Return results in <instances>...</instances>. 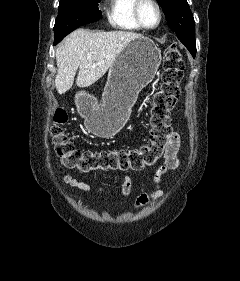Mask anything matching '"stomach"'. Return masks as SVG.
I'll return each mask as SVG.
<instances>
[{
  "label": "stomach",
  "mask_w": 240,
  "mask_h": 281,
  "mask_svg": "<svg viewBox=\"0 0 240 281\" xmlns=\"http://www.w3.org/2000/svg\"><path fill=\"white\" fill-rule=\"evenodd\" d=\"M161 52L148 37L132 40L110 67L102 103L81 92L77 108L86 128L96 136H113L125 124L138 93L154 79Z\"/></svg>",
  "instance_id": "0dacf381"
}]
</instances>
